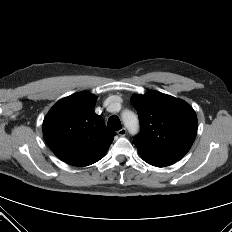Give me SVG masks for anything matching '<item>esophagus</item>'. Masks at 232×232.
Returning <instances> with one entry per match:
<instances>
[{
    "mask_svg": "<svg viewBox=\"0 0 232 232\" xmlns=\"http://www.w3.org/2000/svg\"><path fill=\"white\" fill-rule=\"evenodd\" d=\"M117 133H118L119 136L123 137V136L126 135L127 130L125 128H122Z\"/></svg>",
    "mask_w": 232,
    "mask_h": 232,
    "instance_id": "34e87169",
    "label": "esophagus"
}]
</instances>
